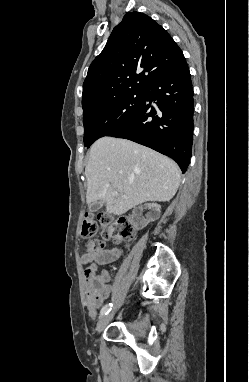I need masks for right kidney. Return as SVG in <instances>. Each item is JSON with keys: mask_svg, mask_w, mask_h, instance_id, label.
<instances>
[{"mask_svg": "<svg viewBox=\"0 0 249 382\" xmlns=\"http://www.w3.org/2000/svg\"><path fill=\"white\" fill-rule=\"evenodd\" d=\"M160 208V205L152 204L151 201H146L145 204H141V207L135 209L130 216L131 219H133V226H135L137 230H143L148 223L159 219ZM146 211L150 212H148L146 218H144L142 217V214H145Z\"/></svg>", "mask_w": 249, "mask_h": 382, "instance_id": "obj_1", "label": "right kidney"}]
</instances>
